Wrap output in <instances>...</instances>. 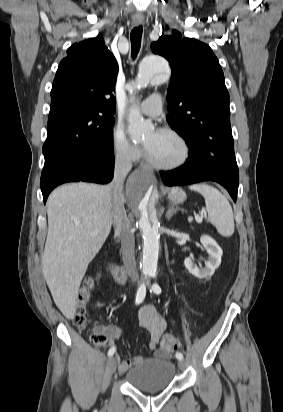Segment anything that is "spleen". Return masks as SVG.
Returning a JSON list of instances; mask_svg holds the SVG:
<instances>
[{
	"instance_id": "1",
	"label": "spleen",
	"mask_w": 283,
	"mask_h": 412,
	"mask_svg": "<svg viewBox=\"0 0 283 412\" xmlns=\"http://www.w3.org/2000/svg\"><path fill=\"white\" fill-rule=\"evenodd\" d=\"M189 188L204 197L209 221L216 227L218 233L224 237L232 236L234 216L232 207L225 196L216 188L206 184H195Z\"/></svg>"
}]
</instances>
